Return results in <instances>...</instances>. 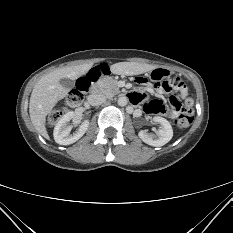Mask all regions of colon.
Instances as JSON below:
<instances>
[{
  "mask_svg": "<svg viewBox=\"0 0 233 233\" xmlns=\"http://www.w3.org/2000/svg\"><path fill=\"white\" fill-rule=\"evenodd\" d=\"M182 79L175 77L169 80L159 83V87L170 89L172 85L180 84ZM139 82H142V78H138ZM183 81V80H182ZM89 83L85 81V78L80 79L77 82L76 88L73 89L67 96V98L54 109L48 116L49 125L56 124L62 117L65 111L79 105L84 98V93L87 91ZM148 108L152 113H167L171 110L178 111V116L174 119V124L179 129H185L190 126L193 121V101L186 99L184 102L178 94L171 97L169 104L163 101L154 100L148 103Z\"/></svg>",
  "mask_w": 233,
  "mask_h": 233,
  "instance_id": "colon-1",
  "label": "colon"
}]
</instances>
